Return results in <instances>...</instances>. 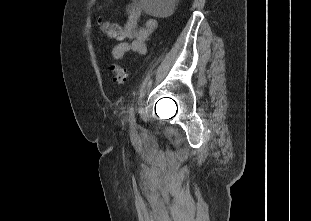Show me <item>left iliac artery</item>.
Returning a JSON list of instances; mask_svg holds the SVG:
<instances>
[{"instance_id":"obj_1","label":"left iliac artery","mask_w":311,"mask_h":221,"mask_svg":"<svg viewBox=\"0 0 311 221\" xmlns=\"http://www.w3.org/2000/svg\"><path fill=\"white\" fill-rule=\"evenodd\" d=\"M134 104L131 105L130 110H129V123L132 127L136 125L135 122V115H134Z\"/></svg>"}]
</instances>
